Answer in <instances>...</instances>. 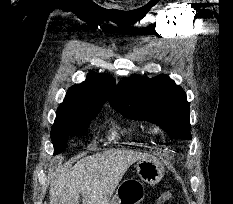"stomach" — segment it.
Instances as JSON below:
<instances>
[{"instance_id":"1","label":"stomach","mask_w":233,"mask_h":204,"mask_svg":"<svg viewBox=\"0 0 233 204\" xmlns=\"http://www.w3.org/2000/svg\"><path fill=\"white\" fill-rule=\"evenodd\" d=\"M137 174L141 181L150 185L159 183L164 176V166L155 157L145 156L136 163ZM144 197L141 183L135 179L123 181L108 204H139Z\"/></svg>"}]
</instances>
